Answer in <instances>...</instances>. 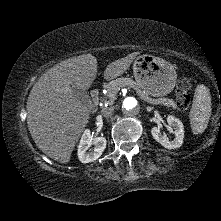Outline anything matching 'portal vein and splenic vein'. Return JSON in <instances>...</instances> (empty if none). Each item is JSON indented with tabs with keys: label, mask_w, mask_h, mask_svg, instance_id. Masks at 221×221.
Masks as SVG:
<instances>
[{
	"label": "portal vein and splenic vein",
	"mask_w": 221,
	"mask_h": 221,
	"mask_svg": "<svg viewBox=\"0 0 221 221\" xmlns=\"http://www.w3.org/2000/svg\"><path fill=\"white\" fill-rule=\"evenodd\" d=\"M141 98L144 99L145 101L151 103V104H160L161 103L160 100L152 99V98H149L148 96H145V95H141Z\"/></svg>",
	"instance_id": "portal-vein-and-splenic-vein-1"
}]
</instances>
